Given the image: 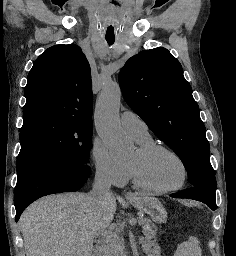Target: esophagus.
<instances>
[{"instance_id":"obj_1","label":"esophagus","mask_w":236,"mask_h":256,"mask_svg":"<svg viewBox=\"0 0 236 256\" xmlns=\"http://www.w3.org/2000/svg\"><path fill=\"white\" fill-rule=\"evenodd\" d=\"M125 196H126L127 199H134V198H136V195L134 193H132L131 191H127L125 193Z\"/></svg>"}]
</instances>
